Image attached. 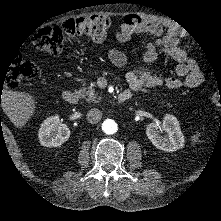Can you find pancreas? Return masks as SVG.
Segmentation results:
<instances>
[{"mask_svg":"<svg viewBox=\"0 0 221 221\" xmlns=\"http://www.w3.org/2000/svg\"><path fill=\"white\" fill-rule=\"evenodd\" d=\"M79 92L85 96L86 102L98 103L100 100L98 99V95L95 93L94 84L89 87L82 86L78 89Z\"/></svg>","mask_w":221,"mask_h":221,"instance_id":"pancreas-1","label":"pancreas"}]
</instances>
